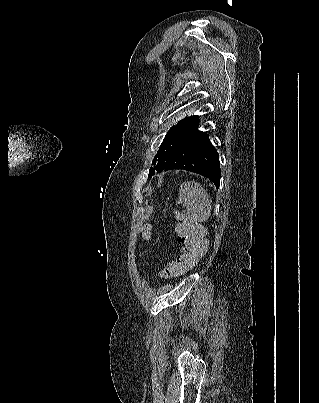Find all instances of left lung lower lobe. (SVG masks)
Segmentation results:
<instances>
[{
  "instance_id": "0a47b994",
  "label": "left lung lower lobe",
  "mask_w": 319,
  "mask_h": 403,
  "mask_svg": "<svg viewBox=\"0 0 319 403\" xmlns=\"http://www.w3.org/2000/svg\"><path fill=\"white\" fill-rule=\"evenodd\" d=\"M183 169L198 173L220 184L219 154L209 141L208 134L198 130V121L188 132L164 171Z\"/></svg>"
}]
</instances>
